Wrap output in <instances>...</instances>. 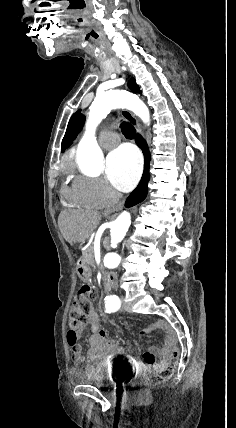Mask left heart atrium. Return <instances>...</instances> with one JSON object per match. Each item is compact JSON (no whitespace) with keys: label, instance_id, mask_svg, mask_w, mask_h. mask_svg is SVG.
I'll return each mask as SVG.
<instances>
[{"label":"left heart atrium","instance_id":"obj_1","mask_svg":"<svg viewBox=\"0 0 236 428\" xmlns=\"http://www.w3.org/2000/svg\"><path fill=\"white\" fill-rule=\"evenodd\" d=\"M142 172V159L139 152L130 145H121L109 154L106 160V173L110 182L121 191L131 190L138 182Z\"/></svg>","mask_w":236,"mask_h":428}]
</instances>
